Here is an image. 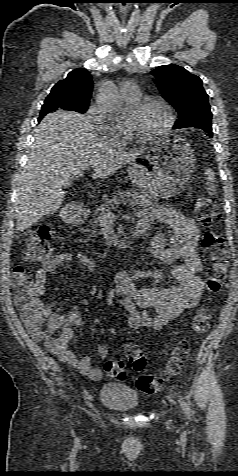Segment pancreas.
Segmentation results:
<instances>
[{
	"instance_id": "obj_1",
	"label": "pancreas",
	"mask_w": 238,
	"mask_h": 476,
	"mask_svg": "<svg viewBox=\"0 0 238 476\" xmlns=\"http://www.w3.org/2000/svg\"><path fill=\"white\" fill-rule=\"evenodd\" d=\"M155 200L135 191H119L117 195L101 204L92 215V228L101 226L105 213L111 210H116L121 204H131L133 206L147 209L153 206ZM98 233H100L98 231Z\"/></svg>"
}]
</instances>
